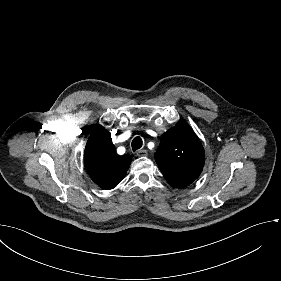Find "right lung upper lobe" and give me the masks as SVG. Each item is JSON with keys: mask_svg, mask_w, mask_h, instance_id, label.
Segmentation results:
<instances>
[{"mask_svg": "<svg viewBox=\"0 0 281 281\" xmlns=\"http://www.w3.org/2000/svg\"><path fill=\"white\" fill-rule=\"evenodd\" d=\"M84 163L91 179L103 189H113L125 177L131 163L129 155L119 156L111 142L110 133L96 126L89 137Z\"/></svg>", "mask_w": 281, "mask_h": 281, "instance_id": "obj_1", "label": "right lung upper lobe"}]
</instances>
